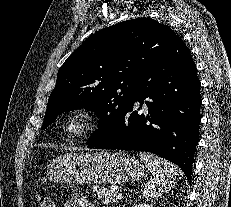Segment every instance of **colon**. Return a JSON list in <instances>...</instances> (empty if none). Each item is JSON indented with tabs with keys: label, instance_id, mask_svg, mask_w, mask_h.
I'll return each mask as SVG.
<instances>
[{
	"label": "colon",
	"instance_id": "obj_1",
	"mask_svg": "<svg viewBox=\"0 0 231 207\" xmlns=\"http://www.w3.org/2000/svg\"><path fill=\"white\" fill-rule=\"evenodd\" d=\"M38 207H54L53 201L50 197H41Z\"/></svg>",
	"mask_w": 231,
	"mask_h": 207
}]
</instances>
